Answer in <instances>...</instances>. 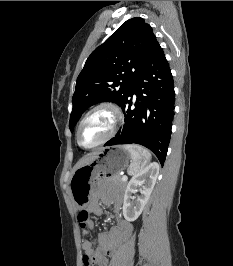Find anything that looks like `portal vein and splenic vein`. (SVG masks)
<instances>
[{"mask_svg":"<svg viewBox=\"0 0 233 266\" xmlns=\"http://www.w3.org/2000/svg\"><path fill=\"white\" fill-rule=\"evenodd\" d=\"M121 179L122 181H127L128 177L126 175H123Z\"/></svg>","mask_w":233,"mask_h":266,"instance_id":"18ae733b","label":"portal vein and splenic vein"}]
</instances>
